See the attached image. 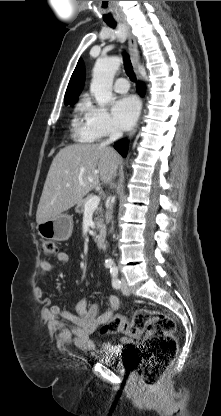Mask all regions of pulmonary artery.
I'll use <instances>...</instances> for the list:
<instances>
[{
    "label": "pulmonary artery",
    "instance_id": "1",
    "mask_svg": "<svg viewBox=\"0 0 221 416\" xmlns=\"http://www.w3.org/2000/svg\"><path fill=\"white\" fill-rule=\"evenodd\" d=\"M113 88L117 93H127L129 90V82L126 78H117L114 82Z\"/></svg>",
    "mask_w": 221,
    "mask_h": 416
}]
</instances>
